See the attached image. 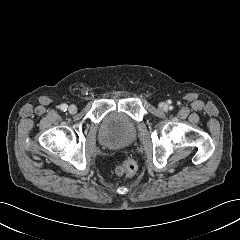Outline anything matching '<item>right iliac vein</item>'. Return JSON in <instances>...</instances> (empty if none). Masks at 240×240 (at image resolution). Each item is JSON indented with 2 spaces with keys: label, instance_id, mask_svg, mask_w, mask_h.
Masks as SVG:
<instances>
[{
  "label": "right iliac vein",
  "instance_id": "obj_1",
  "mask_svg": "<svg viewBox=\"0 0 240 240\" xmlns=\"http://www.w3.org/2000/svg\"><path fill=\"white\" fill-rule=\"evenodd\" d=\"M68 111L70 114H75L77 112V107L75 105H70Z\"/></svg>",
  "mask_w": 240,
  "mask_h": 240
}]
</instances>
